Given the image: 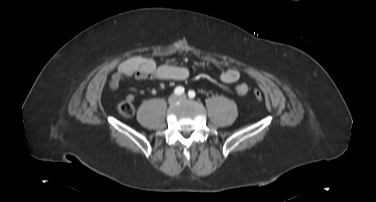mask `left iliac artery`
Here are the masks:
<instances>
[{"label":"left iliac artery","instance_id":"1","mask_svg":"<svg viewBox=\"0 0 376 202\" xmlns=\"http://www.w3.org/2000/svg\"><path fill=\"white\" fill-rule=\"evenodd\" d=\"M188 96H189V98H194L195 97V92L193 91V90H191V91H189L188 92Z\"/></svg>","mask_w":376,"mask_h":202}]
</instances>
